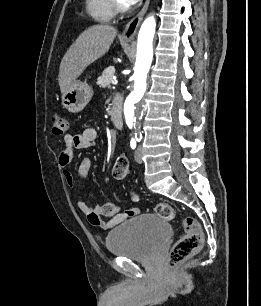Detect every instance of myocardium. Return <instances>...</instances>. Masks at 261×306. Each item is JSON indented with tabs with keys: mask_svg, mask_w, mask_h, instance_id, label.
<instances>
[{
	"mask_svg": "<svg viewBox=\"0 0 261 306\" xmlns=\"http://www.w3.org/2000/svg\"><path fill=\"white\" fill-rule=\"evenodd\" d=\"M113 8L118 13H124L128 10V7L120 0H112Z\"/></svg>",
	"mask_w": 261,
	"mask_h": 306,
	"instance_id": "1",
	"label": "myocardium"
}]
</instances>
